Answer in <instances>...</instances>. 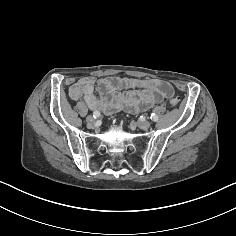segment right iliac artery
<instances>
[{
  "label": "right iliac artery",
  "mask_w": 236,
  "mask_h": 236,
  "mask_svg": "<svg viewBox=\"0 0 236 236\" xmlns=\"http://www.w3.org/2000/svg\"><path fill=\"white\" fill-rule=\"evenodd\" d=\"M100 116V113L98 111L93 112V117L96 119Z\"/></svg>",
  "instance_id": "82829eb1"
}]
</instances>
